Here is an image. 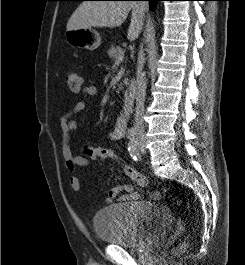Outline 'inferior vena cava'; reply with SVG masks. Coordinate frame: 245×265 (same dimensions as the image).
<instances>
[{
    "label": "inferior vena cava",
    "mask_w": 245,
    "mask_h": 265,
    "mask_svg": "<svg viewBox=\"0 0 245 265\" xmlns=\"http://www.w3.org/2000/svg\"><path fill=\"white\" fill-rule=\"evenodd\" d=\"M140 5L143 11L148 9L147 2H140ZM142 48L143 47L141 46V50L138 54V64L136 72V92H135L136 107H135V118H134V127L139 134H143L144 132L143 114H144V102L146 96V79L142 72L144 65V53Z\"/></svg>",
    "instance_id": "1"
}]
</instances>
